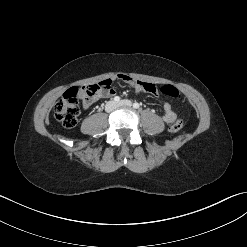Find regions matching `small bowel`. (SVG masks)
Returning <instances> with one entry per match:
<instances>
[{
  "label": "small bowel",
  "mask_w": 247,
  "mask_h": 247,
  "mask_svg": "<svg viewBox=\"0 0 247 247\" xmlns=\"http://www.w3.org/2000/svg\"><path fill=\"white\" fill-rule=\"evenodd\" d=\"M119 78L121 80H124L125 82H127L130 86H132L134 88V90L139 93V92H149L152 94L156 93V87L155 85L145 82V81H141V80H137V79H133L129 76L126 75H120ZM115 94V90L112 88V86L105 92H103L98 98H107V97H111ZM81 98L83 99V106L84 108H89L91 106V104L94 101H89L83 93L80 94ZM96 101V100H95ZM164 122L166 123H172L175 118H176V114L174 112V110L172 109L170 103L165 102L163 105V116H162Z\"/></svg>",
  "instance_id": "obj_1"
}]
</instances>
